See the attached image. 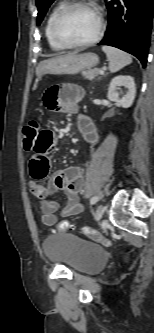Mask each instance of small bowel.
Wrapping results in <instances>:
<instances>
[{"instance_id":"obj_1","label":"small bowel","mask_w":154,"mask_h":333,"mask_svg":"<svg viewBox=\"0 0 154 333\" xmlns=\"http://www.w3.org/2000/svg\"><path fill=\"white\" fill-rule=\"evenodd\" d=\"M82 94L83 92L78 86L64 83L50 87L44 94V103L52 110L76 113ZM78 128L85 140L93 145L97 143V133L87 116L79 115ZM55 147V133L49 128H40L29 162L30 174L35 180L30 183V190L40 201L41 222L47 226H53L57 223L56 212L59 209V204L52 196L55 191H63L67 198L60 212L62 217L78 215L84 210L79 196L84 180L78 167H69L55 172L49 177L46 185L36 182L48 177L51 165L50 154L55 150Z\"/></svg>"}]
</instances>
